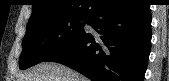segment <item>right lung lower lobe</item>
<instances>
[{"label": "right lung lower lobe", "mask_w": 169, "mask_h": 81, "mask_svg": "<svg viewBox=\"0 0 169 81\" xmlns=\"http://www.w3.org/2000/svg\"><path fill=\"white\" fill-rule=\"evenodd\" d=\"M150 5L142 0H104L83 30L44 61L66 65L92 81H143L150 54Z\"/></svg>", "instance_id": "1"}]
</instances>
